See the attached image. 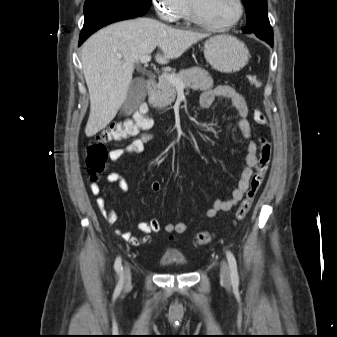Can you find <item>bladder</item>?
<instances>
[{
    "mask_svg": "<svg viewBox=\"0 0 337 337\" xmlns=\"http://www.w3.org/2000/svg\"><path fill=\"white\" fill-rule=\"evenodd\" d=\"M160 263L163 266L166 267H172V266H181L183 267L185 265V260L182 256L171 254V253H166Z\"/></svg>",
    "mask_w": 337,
    "mask_h": 337,
    "instance_id": "obj_1",
    "label": "bladder"
}]
</instances>
